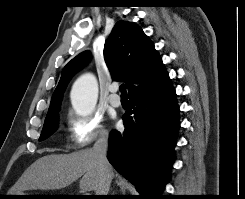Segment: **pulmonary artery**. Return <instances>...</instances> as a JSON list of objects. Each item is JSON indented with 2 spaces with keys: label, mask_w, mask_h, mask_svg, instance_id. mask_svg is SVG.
<instances>
[{
  "label": "pulmonary artery",
  "mask_w": 245,
  "mask_h": 199,
  "mask_svg": "<svg viewBox=\"0 0 245 199\" xmlns=\"http://www.w3.org/2000/svg\"><path fill=\"white\" fill-rule=\"evenodd\" d=\"M118 85L117 84H112L110 86V96H109V102L113 107H120L121 106V99L119 97V95L117 94L118 92Z\"/></svg>",
  "instance_id": "1"
}]
</instances>
